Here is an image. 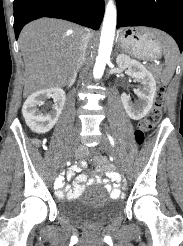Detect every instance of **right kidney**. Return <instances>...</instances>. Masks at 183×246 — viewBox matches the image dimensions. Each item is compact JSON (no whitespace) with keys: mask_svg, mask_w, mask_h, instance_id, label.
Segmentation results:
<instances>
[{"mask_svg":"<svg viewBox=\"0 0 183 246\" xmlns=\"http://www.w3.org/2000/svg\"><path fill=\"white\" fill-rule=\"evenodd\" d=\"M47 98H53L55 104L50 112L44 113L39 110V107ZM65 100L64 90L58 87L43 89L31 94L22 107V113L28 127L39 134L50 131L60 117Z\"/></svg>","mask_w":183,"mask_h":246,"instance_id":"ca27d5eb","label":"right kidney"}]
</instances>
